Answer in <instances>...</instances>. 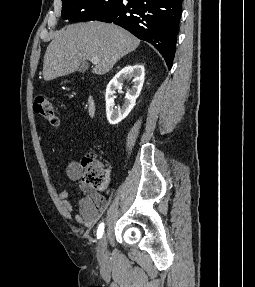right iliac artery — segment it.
<instances>
[{
    "mask_svg": "<svg viewBox=\"0 0 255 287\" xmlns=\"http://www.w3.org/2000/svg\"><path fill=\"white\" fill-rule=\"evenodd\" d=\"M104 232V223H101L98 227V230H97V238H101L102 234Z\"/></svg>",
    "mask_w": 255,
    "mask_h": 287,
    "instance_id": "82829eb1",
    "label": "right iliac artery"
}]
</instances>
